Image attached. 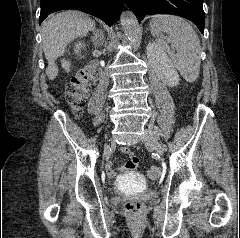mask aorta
Wrapping results in <instances>:
<instances>
[{
	"mask_svg": "<svg viewBox=\"0 0 240 238\" xmlns=\"http://www.w3.org/2000/svg\"><path fill=\"white\" fill-rule=\"evenodd\" d=\"M121 26L125 37L130 42H135L139 34V24L137 18L131 11H124L120 17Z\"/></svg>",
	"mask_w": 240,
	"mask_h": 238,
	"instance_id": "obj_1",
	"label": "aorta"
}]
</instances>
